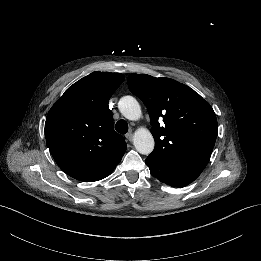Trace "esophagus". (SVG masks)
Returning <instances> with one entry per match:
<instances>
[{
	"instance_id": "34e87169",
	"label": "esophagus",
	"mask_w": 261,
	"mask_h": 261,
	"mask_svg": "<svg viewBox=\"0 0 261 261\" xmlns=\"http://www.w3.org/2000/svg\"><path fill=\"white\" fill-rule=\"evenodd\" d=\"M126 139H128V141L132 142L133 141V134L131 132L127 133L125 135Z\"/></svg>"
}]
</instances>
